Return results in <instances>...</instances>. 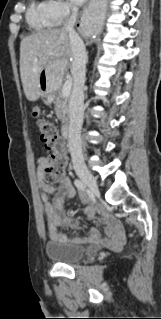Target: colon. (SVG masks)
Instances as JSON below:
<instances>
[{"instance_id": "colon-1", "label": "colon", "mask_w": 161, "mask_h": 319, "mask_svg": "<svg viewBox=\"0 0 161 319\" xmlns=\"http://www.w3.org/2000/svg\"><path fill=\"white\" fill-rule=\"evenodd\" d=\"M33 115L38 116L39 110L34 109ZM37 126L41 137L47 146L53 149L52 154L47 158L45 165V175L47 180L62 178L66 173L68 165V156L64 152L62 138L58 133L56 126L42 119L37 121Z\"/></svg>"}]
</instances>
